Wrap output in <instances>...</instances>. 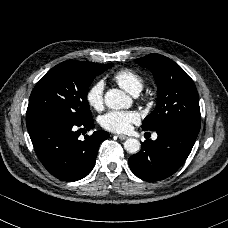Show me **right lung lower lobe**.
Segmentation results:
<instances>
[{
  "label": "right lung lower lobe",
  "mask_w": 228,
  "mask_h": 228,
  "mask_svg": "<svg viewBox=\"0 0 228 228\" xmlns=\"http://www.w3.org/2000/svg\"><path fill=\"white\" fill-rule=\"evenodd\" d=\"M34 150L45 168L63 181H77L93 169L100 143L109 138L106 131H95L79 139L81 130L94 128L93 118L76 122L65 117L46 115L27 120ZM80 127V130H77Z\"/></svg>",
  "instance_id": "1"
}]
</instances>
